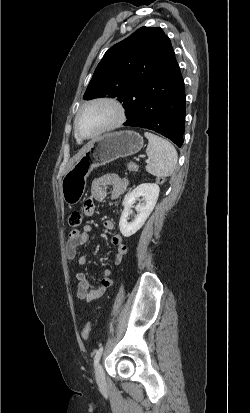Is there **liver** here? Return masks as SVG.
Masks as SVG:
<instances>
[{"label": "liver", "instance_id": "6515ba94", "mask_svg": "<svg viewBox=\"0 0 250 413\" xmlns=\"http://www.w3.org/2000/svg\"><path fill=\"white\" fill-rule=\"evenodd\" d=\"M90 147H91V143L88 144L87 146H85V147L73 158L72 162L78 160L82 155H84V154L89 150Z\"/></svg>", "mask_w": 250, "mask_h": 413}]
</instances>
